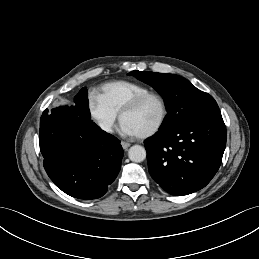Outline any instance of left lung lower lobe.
<instances>
[{
    "instance_id": "obj_1",
    "label": "left lung lower lobe",
    "mask_w": 259,
    "mask_h": 259,
    "mask_svg": "<svg viewBox=\"0 0 259 259\" xmlns=\"http://www.w3.org/2000/svg\"><path fill=\"white\" fill-rule=\"evenodd\" d=\"M225 146L222 116L160 131L145 142L148 170L166 192L176 196L191 194L214 177Z\"/></svg>"
}]
</instances>
